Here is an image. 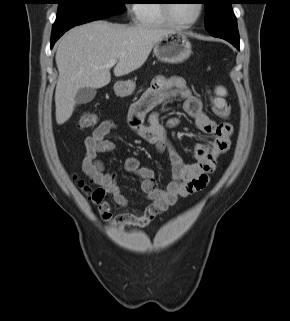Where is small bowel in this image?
Masks as SVG:
<instances>
[{"instance_id":"c3829d8e","label":"small bowel","mask_w":290,"mask_h":321,"mask_svg":"<svg viewBox=\"0 0 290 321\" xmlns=\"http://www.w3.org/2000/svg\"><path fill=\"white\" fill-rule=\"evenodd\" d=\"M173 97L182 99V108L193 119L196 128L212 137L209 143L195 145L194 154L197 161L193 164L183 161L168 140L166 127L160 122L163 110L161 106ZM128 121L138 137L154 144L159 152L168 154L171 166V180L166 187L161 188L152 169L141 167L136 158L126 159L125 170L142 179L141 190L149 201L142 213L113 215L110 203L105 199L107 195L111 196L113 203L119 207H126L128 204L118 184L117 174L105 171L99 159L100 154L112 151L115 147L114 143L106 138L118 126L114 120L102 121L85 139L86 153L82 161V170L94 184L99 186L102 196L93 197L92 203L105 222L120 227L144 228L179 199L200 192L207 186L209 174L215 168L218 157L226 153L230 147L233 128L228 122L216 123L207 116L203 111L201 100L191 93L186 80L180 76L156 77L151 88L132 104ZM180 124L181 120L178 118L168 121L169 127Z\"/></svg>"}]
</instances>
